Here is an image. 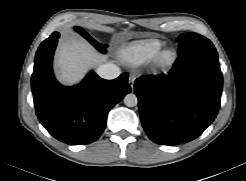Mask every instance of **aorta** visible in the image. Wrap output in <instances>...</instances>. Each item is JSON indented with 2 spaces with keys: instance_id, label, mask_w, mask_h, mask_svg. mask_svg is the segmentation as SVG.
<instances>
[{
  "instance_id": "obj_1",
  "label": "aorta",
  "mask_w": 246,
  "mask_h": 181,
  "mask_svg": "<svg viewBox=\"0 0 246 181\" xmlns=\"http://www.w3.org/2000/svg\"><path fill=\"white\" fill-rule=\"evenodd\" d=\"M138 103V98L134 93H129L124 97V104L127 107H134Z\"/></svg>"
}]
</instances>
